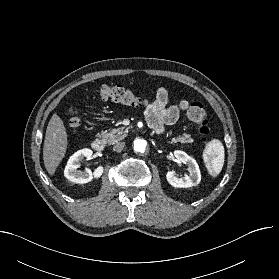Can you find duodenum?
<instances>
[{"mask_svg": "<svg viewBox=\"0 0 279 279\" xmlns=\"http://www.w3.org/2000/svg\"><path fill=\"white\" fill-rule=\"evenodd\" d=\"M92 148L97 152H103L105 149V141L103 139H95L92 142Z\"/></svg>", "mask_w": 279, "mask_h": 279, "instance_id": "duodenum-1", "label": "duodenum"}]
</instances>
